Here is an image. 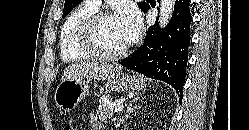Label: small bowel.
Masks as SVG:
<instances>
[{
  "label": "small bowel",
  "instance_id": "small-bowel-1",
  "mask_svg": "<svg viewBox=\"0 0 249 130\" xmlns=\"http://www.w3.org/2000/svg\"><path fill=\"white\" fill-rule=\"evenodd\" d=\"M89 128L90 130H103L102 124L94 116L90 118Z\"/></svg>",
  "mask_w": 249,
  "mask_h": 130
}]
</instances>
